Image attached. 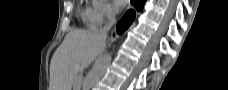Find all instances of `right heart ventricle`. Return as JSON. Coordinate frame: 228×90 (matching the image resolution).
Wrapping results in <instances>:
<instances>
[{"label": "right heart ventricle", "instance_id": "obj_1", "mask_svg": "<svg viewBox=\"0 0 228 90\" xmlns=\"http://www.w3.org/2000/svg\"><path fill=\"white\" fill-rule=\"evenodd\" d=\"M90 11H91V9H86L82 14V17H83L84 21H86V22H92Z\"/></svg>", "mask_w": 228, "mask_h": 90}]
</instances>
